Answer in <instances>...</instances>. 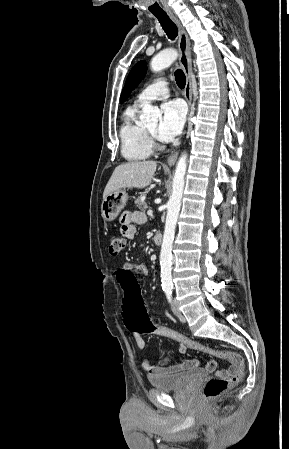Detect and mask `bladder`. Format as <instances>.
Wrapping results in <instances>:
<instances>
[{
    "label": "bladder",
    "instance_id": "31cf9c89",
    "mask_svg": "<svg viewBox=\"0 0 289 449\" xmlns=\"http://www.w3.org/2000/svg\"><path fill=\"white\" fill-rule=\"evenodd\" d=\"M206 372L201 369H192L180 373H162L149 375L148 380L152 387L164 391H171L185 387L186 385L204 377Z\"/></svg>",
    "mask_w": 289,
    "mask_h": 449
}]
</instances>
